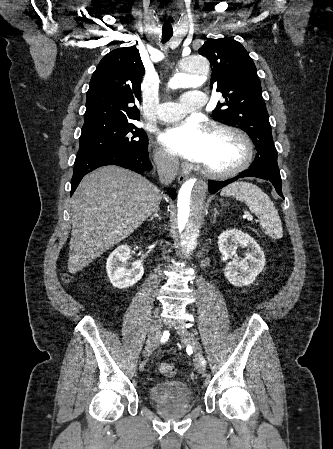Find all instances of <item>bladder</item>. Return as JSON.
Returning a JSON list of instances; mask_svg holds the SVG:
<instances>
[{
	"label": "bladder",
	"mask_w": 333,
	"mask_h": 449,
	"mask_svg": "<svg viewBox=\"0 0 333 449\" xmlns=\"http://www.w3.org/2000/svg\"><path fill=\"white\" fill-rule=\"evenodd\" d=\"M148 397L156 405L189 404L194 393L185 382L178 380L160 381L148 388Z\"/></svg>",
	"instance_id": "1"
}]
</instances>
